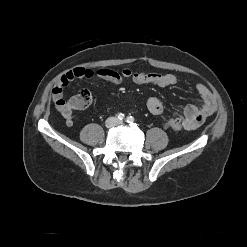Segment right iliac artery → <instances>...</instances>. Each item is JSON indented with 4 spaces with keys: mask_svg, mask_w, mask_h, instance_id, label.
Returning a JSON list of instances; mask_svg holds the SVG:
<instances>
[{
    "mask_svg": "<svg viewBox=\"0 0 247 247\" xmlns=\"http://www.w3.org/2000/svg\"><path fill=\"white\" fill-rule=\"evenodd\" d=\"M116 117H117L119 120H123L125 116H124L123 113H118V114L116 115Z\"/></svg>",
    "mask_w": 247,
    "mask_h": 247,
    "instance_id": "82829eb1",
    "label": "right iliac artery"
}]
</instances>
